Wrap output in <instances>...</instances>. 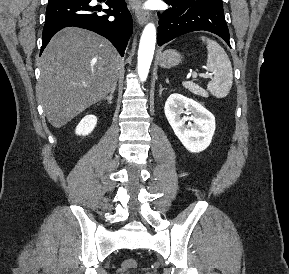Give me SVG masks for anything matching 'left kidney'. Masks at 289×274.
I'll use <instances>...</instances> for the list:
<instances>
[{
  "label": "left kidney",
  "mask_w": 289,
  "mask_h": 274,
  "mask_svg": "<svg viewBox=\"0 0 289 274\" xmlns=\"http://www.w3.org/2000/svg\"><path fill=\"white\" fill-rule=\"evenodd\" d=\"M184 109L193 115L188 118L181 117ZM164 112L175 135L188 151L199 153L210 145L215 132V118L201 104L174 93L168 97ZM187 120L193 123L186 125Z\"/></svg>",
  "instance_id": "obj_1"
}]
</instances>
